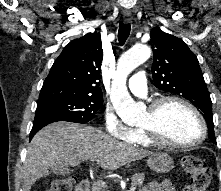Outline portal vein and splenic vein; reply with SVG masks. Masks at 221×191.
<instances>
[{
	"label": "portal vein and splenic vein",
	"mask_w": 221,
	"mask_h": 191,
	"mask_svg": "<svg viewBox=\"0 0 221 191\" xmlns=\"http://www.w3.org/2000/svg\"><path fill=\"white\" fill-rule=\"evenodd\" d=\"M90 160H91V161H94V160H95V157H92ZM98 184H101V185L105 186V183L102 182V181H98ZM134 190H135V188H131V189H130V191H134Z\"/></svg>",
	"instance_id": "obj_1"
}]
</instances>
